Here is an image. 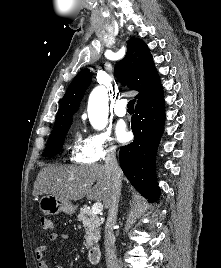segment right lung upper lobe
Listing matches in <instances>:
<instances>
[{
	"label": "right lung upper lobe",
	"instance_id": "cb5924a9",
	"mask_svg": "<svg viewBox=\"0 0 221 268\" xmlns=\"http://www.w3.org/2000/svg\"><path fill=\"white\" fill-rule=\"evenodd\" d=\"M114 73L123 85L139 92L136 96L137 104L151 99L162 91L154 61L142 39L134 37L129 39L127 54L117 63ZM91 78L92 73L89 69H83L77 74L61 100L55 125L72 120Z\"/></svg>",
	"mask_w": 221,
	"mask_h": 268
}]
</instances>
